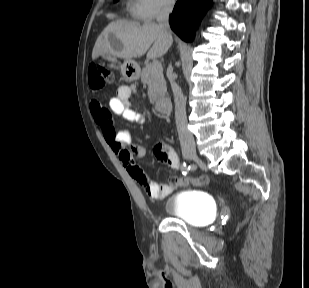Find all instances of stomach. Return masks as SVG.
<instances>
[{
  "instance_id": "1",
  "label": "stomach",
  "mask_w": 309,
  "mask_h": 288,
  "mask_svg": "<svg viewBox=\"0 0 309 288\" xmlns=\"http://www.w3.org/2000/svg\"><path fill=\"white\" fill-rule=\"evenodd\" d=\"M102 59L111 63H116L117 58L110 54H102ZM122 75L129 81H137L140 77V67L138 63L133 59H125L123 63H120Z\"/></svg>"
}]
</instances>
